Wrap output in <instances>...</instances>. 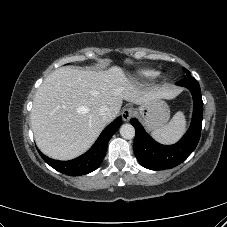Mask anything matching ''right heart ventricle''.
Returning a JSON list of instances; mask_svg holds the SVG:
<instances>
[{"mask_svg": "<svg viewBox=\"0 0 227 227\" xmlns=\"http://www.w3.org/2000/svg\"><path fill=\"white\" fill-rule=\"evenodd\" d=\"M158 74L156 70L144 69L137 72V77L140 80L149 81L156 78Z\"/></svg>", "mask_w": 227, "mask_h": 227, "instance_id": "1", "label": "right heart ventricle"}]
</instances>
